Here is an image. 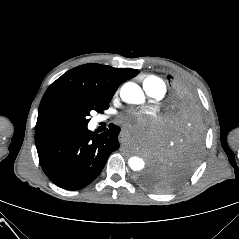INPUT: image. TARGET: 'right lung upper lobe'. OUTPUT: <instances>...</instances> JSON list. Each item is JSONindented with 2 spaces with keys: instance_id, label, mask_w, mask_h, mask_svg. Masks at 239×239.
<instances>
[{
  "instance_id": "obj_1",
  "label": "right lung upper lobe",
  "mask_w": 239,
  "mask_h": 239,
  "mask_svg": "<svg viewBox=\"0 0 239 239\" xmlns=\"http://www.w3.org/2000/svg\"><path fill=\"white\" fill-rule=\"evenodd\" d=\"M129 68H114L95 63L75 67L53 82L46 90L39 109L35 133L51 115L66 110H78L87 104H109L117 88L138 75Z\"/></svg>"
}]
</instances>
